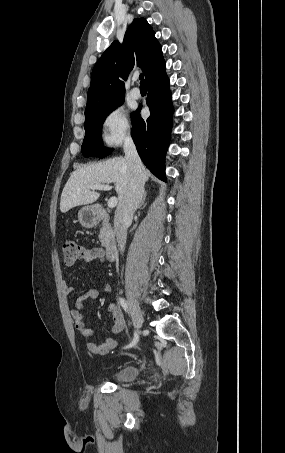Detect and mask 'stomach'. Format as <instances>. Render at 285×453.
I'll return each mask as SVG.
<instances>
[{
	"label": "stomach",
	"mask_w": 285,
	"mask_h": 453,
	"mask_svg": "<svg viewBox=\"0 0 285 453\" xmlns=\"http://www.w3.org/2000/svg\"><path fill=\"white\" fill-rule=\"evenodd\" d=\"M80 224L85 228H92L98 223V214L94 207L84 206L78 212Z\"/></svg>",
	"instance_id": "0dacf381"
}]
</instances>
